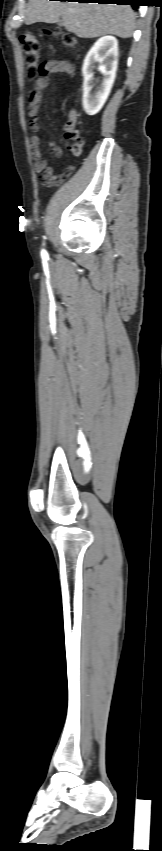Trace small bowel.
<instances>
[{"label":"small bowel","mask_w":162,"mask_h":851,"mask_svg":"<svg viewBox=\"0 0 162 851\" xmlns=\"http://www.w3.org/2000/svg\"><path fill=\"white\" fill-rule=\"evenodd\" d=\"M54 73H63L73 76L75 73L74 66L67 61H47L42 64V73L35 81L34 89L30 95L29 102V117L30 124L34 131L38 129V112L42 99V92L48 86V75ZM68 137V136H67ZM69 138V137H68ZM50 147L55 156L61 157L63 151L55 142L50 143ZM74 150V144L70 146ZM31 155L34 159V169L42 176V179L48 185L55 184L53 182V168L49 166L47 160L43 157L41 149V139L39 135L34 134L31 138Z\"/></svg>","instance_id":"small-bowel-1"}]
</instances>
